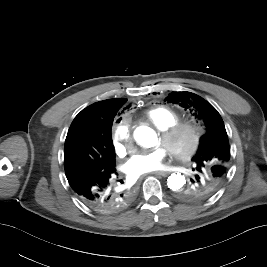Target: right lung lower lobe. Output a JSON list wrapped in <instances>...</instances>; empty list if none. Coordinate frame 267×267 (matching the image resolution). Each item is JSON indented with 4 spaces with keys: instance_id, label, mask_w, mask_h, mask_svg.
I'll list each match as a JSON object with an SVG mask.
<instances>
[{
    "instance_id": "98d812e1",
    "label": "right lung lower lobe",
    "mask_w": 267,
    "mask_h": 267,
    "mask_svg": "<svg viewBox=\"0 0 267 267\" xmlns=\"http://www.w3.org/2000/svg\"><path fill=\"white\" fill-rule=\"evenodd\" d=\"M67 179L77 196L100 213H118L127 208L135 198L132 189L121 190L115 165L102 171L89 169Z\"/></svg>"
}]
</instances>
